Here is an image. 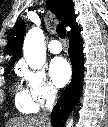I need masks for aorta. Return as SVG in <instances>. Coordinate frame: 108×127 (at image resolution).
<instances>
[{"label": "aorta", "mask_w": 108, "mask_h": 127, "mask_svg": "<svg viewBox=\"0 0 108 127\" xmlns=\"http://www.w3.org/2000/svg\"><path fill=\"white\" fill-rule=\"evenodd\" d=\"M23 54L28 66L34 70L41 69L46 61V49L43 31L39 27L31 28L24 39ZM73 120H69L66 127H72Z\"/></svg>", "instance_id": "obj_1"}]
</instances>
